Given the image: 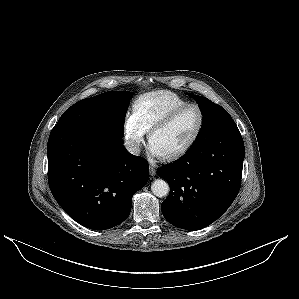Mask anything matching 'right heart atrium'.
I'll use <instances>...</instances> for the list:
<instances>
[{
	"instance_id": "1",
	"label": "right heart atrium",
	"mask_w": 299,
	"mask_h": 299,
	"mask_svg": "<svg viewBox=\"0 0 299 299\" xmlns=\"http://www.w3.org/2000/svg\"><path fill=\"white\" fill-rule=\"evenodd\" d=\"M147 130L134 113H127L124 121V137L129 151L137 154Z\"/></svg>"
}]
</instances>
